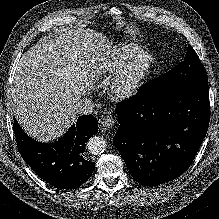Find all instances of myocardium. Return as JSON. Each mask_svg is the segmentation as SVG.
<instances>
[{
	"mask_svg": "<svg viewBox=\"0 0 219 219\" xmlns=\"http://www.w3.org/2000/svg\"><path fill=\"white\" fill-rule=\"evenodd\" d=\"M151 67L152 58L146 52H139L124 62L110 78L107 87L110 97L121 101L134 95Z\"/></svg>",
	"mask_w": 219,
	"mask_h": 219,
	"instance_id": "obj_1",
	"label": "myocardium"
}]
</instances>
